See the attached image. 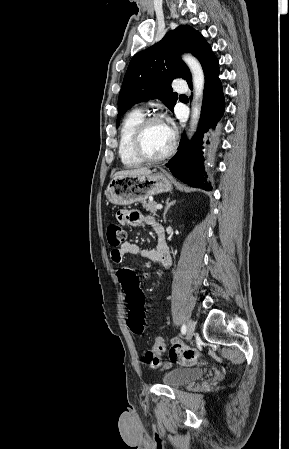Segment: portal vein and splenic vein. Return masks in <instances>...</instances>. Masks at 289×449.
Listing matches in <instances>:
<instances>
[{
    "instance_id": "18ae733b",
    "label": "portal vein and splenic vein",
    "mask_w": 289,
    "mask_h": 449,
    "mask_svg": "<svg viewBox=\"0 0 289 449\" xmlns=\"http://www.w3.org/2000/svg\"><path fill=\"white\" fill-rule=\"evenodd\" d=\"M162 208H163V206L161 204L156 205V209H162Z\"/></svg>"
}]
</instances>
